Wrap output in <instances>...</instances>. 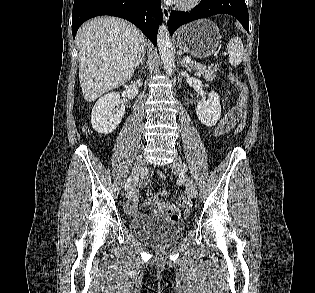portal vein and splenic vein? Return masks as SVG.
Segmentation results:
<instances>
[{
    "label": "portal vein and splenic vein",
    "instance_id": "18ae733b",
    "mask_svg": "<svg viewBox=\"0 0 315 293\" xmlns=\"http://www.w3.org/2000/svg\"><path fill=\"white\" fill-rule=\"evenodd\" d=\"M184 62H186V63H191V59L188 58V57H185V58H184Z\"/></svg>",
    "mask_w": 315,
    "mask_h": 293
}]
</instances>
